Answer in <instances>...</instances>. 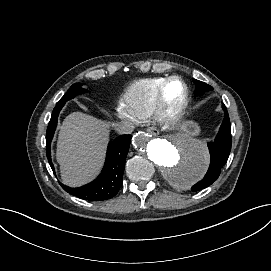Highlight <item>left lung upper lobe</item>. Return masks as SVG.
I'll list each match as a JSON object with an SVG mask.
<instances>
[{
    "instance_id": "obj_1",
    "label": "left lung upper lobe",
    "mask_w": 271,
    "mask_h": 271,
    "mask_svg": "<svg viewBox=\"0 0 271 271\" xmlns=\"http://www.w3.org/2000/svg\"><path fill=\"white\" fill-rule=\"evenodd\" d=\"M194 83L196 85V90H195L196 95H201L204 92H208V91L213 90V88L210 85H208L202 81H198V80L194 79Z\"/></svg>"
}]
</instances>
